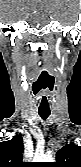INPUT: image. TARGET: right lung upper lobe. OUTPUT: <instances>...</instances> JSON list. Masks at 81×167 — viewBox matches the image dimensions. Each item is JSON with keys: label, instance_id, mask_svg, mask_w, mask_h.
<instances>
[{"label": "right lung upper lobe", "instance_id": "right-lung-upper-lobe-1", "mask_svg": "<svg viewBox=\"0 0 81 167\" xmlns=\"http://www.w3.org/2000/svg\"><path fill=\"white\" fill-rule=\"evenodd\" d=\"M24 145L21 135L14 136L9 141L0 143V167H27L22 162Z\"/></svg>", "mask_w": 81, "mask_h": 167}]
</instances>
